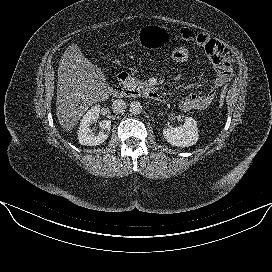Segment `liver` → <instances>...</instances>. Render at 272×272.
<instances>
[{"instance_id": "liver-1", "label": "liver", "mask_w": 272, "mask_h": 272, "mask_svg": "<svg viewBox=\"0 0 272 272\" xmlns=\"http://www.w3.org/2000/svg\"><path fill=\"white\" fill-rule=\"evenodd\" d=\"M111 92L101 69L77 45L69 46L58 67L56 113L61 128L71 131L91 105L107 99Z\"/></svg>"}]
</instances>
